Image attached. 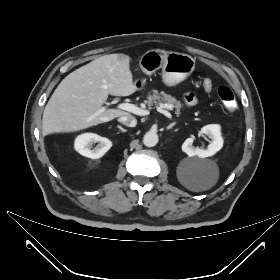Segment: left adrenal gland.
Instances as JSON below:
<instances>
[{
    "label": "left adrenal gland",
    "mask_w": 280,
    "mask_h": 280,
    "mask_svg": "<svg viewBox=\"0 0 280 280\" xmlns=\"http://www.w3.org/2000/svg\"><path fill=\"white\" fill-rule=\"evenodd\" d=\"M176 125V122H173V123H171L168 127H167V130H169V129H171L173 126H175Z\"/></svg>",
    "instance_id": "obj_1"
}]
</instances>
